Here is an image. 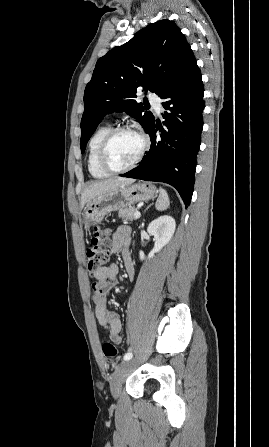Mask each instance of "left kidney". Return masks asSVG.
I'll list each match as a JSON object with an SVG mask.
<instances>
[{
  "label": "left kidney",
  "mask_w": 269,
  "mask_h": 447,
  "mask_svg": "<svg viewBox=\"0 0 269 447\" xmlns=\"http://www.w3.org/2000/svg\"><path fill=\"white\" fill-rule=\"evenodd\" d=\"M175 220L171 216H160L157 220H153L151 224L148 225L147 231L150 235H154L155 243L153 249L148 253V257H154V253L160 251L166 243H169L174 231H175ZM140 259H145L146 255L144 251H139Z\"/></svg>",
  "instance_id": "obj_1"
}]
</instances>
